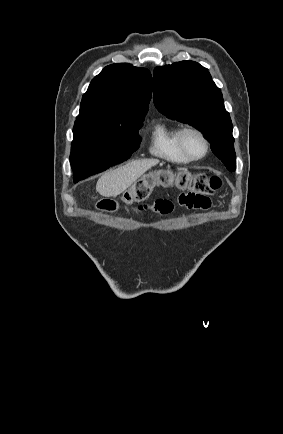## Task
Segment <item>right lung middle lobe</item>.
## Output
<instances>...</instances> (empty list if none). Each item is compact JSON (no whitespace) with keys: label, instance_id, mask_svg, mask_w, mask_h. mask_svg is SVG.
Masks as SVG:
<instances>
[{"label":"right lung middle lobe","instance_id":"obj_1","mask_svg":"<svg viewBox=\"0 0 283 434\" xmlns=\"http://www.w3.org/2000/svg\"><path fill=\"white\" fill-rule=\"evenodd\" d=\"M144 119L123 124H75L70 163L74 182L121 163L138 149Z\"/></svg>","mask_w":283,"mask_h":434}]
</instances>
